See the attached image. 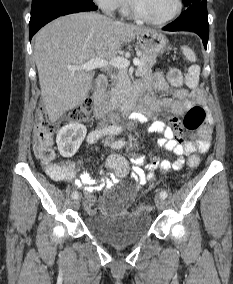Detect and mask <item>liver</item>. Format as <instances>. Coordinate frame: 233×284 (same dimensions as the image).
<instances>
[{
  "instance_id": "obj_1",
  "label": "liver",
  "mask_w": 233,
  "mask_h": 284,
  "mask_svg": "<svg viewBox=\"0 0 233 284\" xmlns=\"http://www.w3.org/2000/svg\"><path fill=\"white\" fill-rule=\"evenodd\" d=\"M148 30L87 12L60 17L43 27L35 36L34 58L50 121L55 122L88 96L94 74L71 71L69 65L95 58L111 60L124 42Z\"/></svg>"
}]
</instances>
